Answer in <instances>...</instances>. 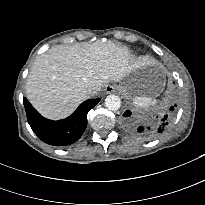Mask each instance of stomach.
<instances>
[{"label":"stomach","mask_w":205,"mask_h":205,"mask_svg":"<svg viewBox=\"0 0 205 205\" xmlns=\"http://www.w3.org/2000/svg\"><path fill=\"white\" fill-rule=\"evenodd\" d=\"M149 65L131 71L120 83L119 89L127 95L154 97L160 92L163 82L148 78Z\"/></svg>","instance_id":"0dacf381"}]
</instances>
